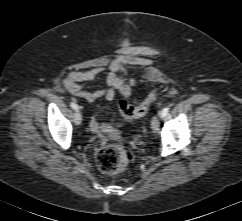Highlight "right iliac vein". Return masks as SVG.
I'll use <instances>...</instances> for the list:
<instances>
[{"label": "right iliac vein", "mask_w": 242, "mask_h": 221, "mask_svg": "<svg viewBox=\"0 0 242 221\" xmlns=\"http://www.w3.org/2000/svg\"><path fill=\"white\" fill-rule=\"evenodd\" d=\"M82 114L81 112H76L75 115H74V122L76 125H80L82 123Z\"/></svg>", "instance_id": "obj_1"}]
</instances>
